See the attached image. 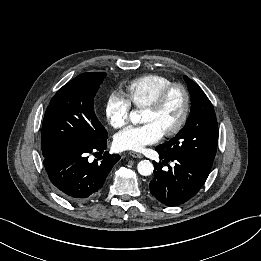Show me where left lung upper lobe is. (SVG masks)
<instances>
[{"mask_svg": "<svg viewBox=\"0 0 261 261\" xmlns=\"http://www.w3.org/2000/svg\"><path fill=\"white\" fill-rule=\"evenodd\" d=\"M191 112L186 125L168 142L158 145L166 156H182L194 165L210 170L218 144V125L214 108L203 90L187 76Z\"/></svg>", "mask_w": 261, "mask_h": 261, "instance_id": "1", "label": "left lung upper lobe"}]
</instances>
